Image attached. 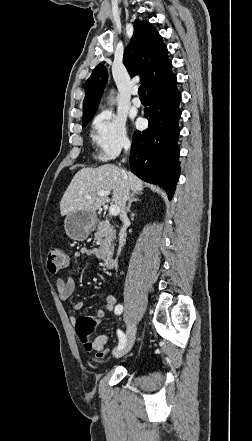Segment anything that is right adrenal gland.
Listing matches in <instances>:
<instances>
[{
	"label": "right adrenal gland",
	"instance_id": "2a0ac1e0",
	"mask_svg": "<svg viewBox=\"0 0 252 441\" xmlns=\"http://www.w3.org/2000/svg\"><path fill=\"white\" fill-rule=\"evenodd\" d=\"M137 201H140V199L136 197L135 193H131L128 199V206L126 209L128 213L130 212L131 203Z\"/></svg>",
	"mask_w": 252,
	"mask_h": 441
}]
</instances>
